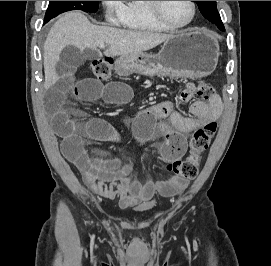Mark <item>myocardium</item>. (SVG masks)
Returning <instances> with one entry per match:
<instances>
[{
	"label": "myocardium",
	"instance_id": "f54148a6",
	"mask_svg": "<svg viewBox=\"0 0 271 266\" xmlns=\"http://www.w3.org/2000/svg\"><path fill=\"white\" fill-rule=\"evenodd\" d=\"M191 8H192V14L189 21L185 24H174L171 21H169L165 15L162 13L161 10V1H147V7L149 11L151 12L152 16L159 21L164 26L168 27L169 29L179 30V29H185L189 27L195 20L196 13H197V6L194 1H189Z\"/></svg>",
	"mask_w": 271,
	"mask_h": 266
}]
</instances>
